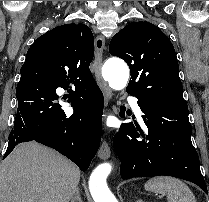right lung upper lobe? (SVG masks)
<instances>
[{
  "label": "right lung upper lobe",
  "mask_w": 209,
  "mask_h": 202,
  "mask_svg": "<svg viewBox=\"0 0 209 202\" xmlns=\"http://www.w3.org/2000/svg\"><path fill=\"white\" fill-rule=\"evenodd\" d=\"M94 56L93 33L85 24L57 26L35 40L20 69L24 76H50L64 85L95 83L89 65Z\"/></svg>",
  "instance_id": "cb5924a9"
}]
</instances>
